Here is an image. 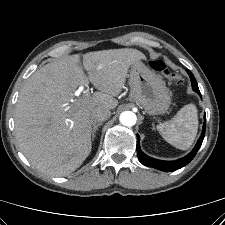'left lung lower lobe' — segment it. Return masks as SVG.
Segmentation results:
<instances>
[{
    "label": "left lung lower lobe",
    "mask_w": 225,
    "mask_h": 225,
    "mask_svg": "<svg viewBox=\"0 0 225 225\" xmlns=\"http://www.w3.org/2000/svg\"><path fill=\"white\" fill-rule=\"evenodd\" d=\"M186 71L190 76L193 90L196 91L199 95H201L198 85H197V82H196L193 74L188 69ZM205 118H206V116H205ZM205 129H206V121L203 124L202 134H201L196 146L194 147V149L185 157L175 160V161H161V160L153 159V158L147 156L146 154H144L140 150V144H139L140 137L137 135V153H138L139 161L145 166L153 167V168L165 171V172L176 171V170L184 167L185 165H187L194 158V156L196 155L197 151L199 150V148L201 147V144L203 142V139L205 136Z\"/></svg>",
    "instance_id": "left-lung-lower-lobe-1"
}]
</instances>
